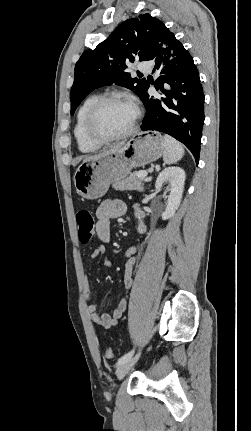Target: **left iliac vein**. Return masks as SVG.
Listing matches in <instances>:
<instances>
[{
	"label": "left iliac vein",
	"instance_id": "obj_1",
	"mask_svg": "<svg viewBox=\"0 0 251 431\" xmlns=\"http://www.w3.org/2000/svg\"><path fill=\"white\" fill-rule=\"evenodd\" d=\"M140 352H138L133 358H129L124 363H121L118 365L116 369V375L118 379H122L128 371L131 369V367L137 362L139 359Z\"/></svg>",
	"mask_w": 251,
	"mask_h": 431
}]
</instances>
